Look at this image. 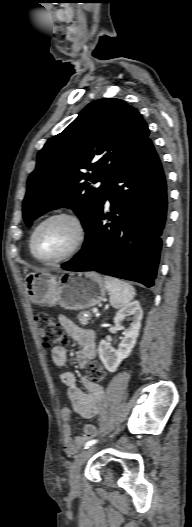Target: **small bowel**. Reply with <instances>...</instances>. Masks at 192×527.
<instances>
[{"label":"small bowel","mask_w":192,"mask_h":527,"mask_svg":"<svg viewBox=\"0 0 192 527\" xmlns=\"http://www.w3.org/2000/svg\"><path fill=\"white\" fill-rule=\"evenodd\" d=\"M59 323L68 336L81 346V349L76 354V361L80 368H84L96 356L95 333L90 329L78 326L64 315L59 316ZM52 360L56 366H64L67 361V350L62 346L54 347L52 349ZM60 380L67 387L66 395L71 405L70 408L62 409L64 449L72 453L95 433L92 425H86L84 434L72 438V414L75 413L84 419H92L97 416L104 398L105 389L102 385L92 383L86 377L81 379L84 390L81 389L77 385L75 374L71 371L62 372Z\"/></svg>","instance_id":"obj_1"}]
</instances>
